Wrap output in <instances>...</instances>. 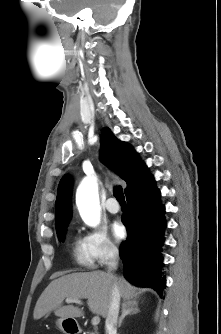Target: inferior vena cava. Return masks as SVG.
Returning <instances> with one entry per match:
<instances>
[{
    "mask_svg": "<svg viewBox=\"0 0 221 334\" xmlns=\"http://www.w3.org/2000/svg\"><path fill=\"white\" fill-rule=\"evenodd\" d=\"M119 252L116 247H110L108 253L107 269L108 273L116 269L118 265ZM120 307V292L118 286L115 284L112 288L111 301L109 305L108 314L105 321V329L107 334H116L117 319Z\"/></svg>",
    "mask_w": 221,
    "mask_h": 334,
    "instance_id": "inferior-vena-cava-1",
    "label": "inferior vena cava"
}]
</instances>
